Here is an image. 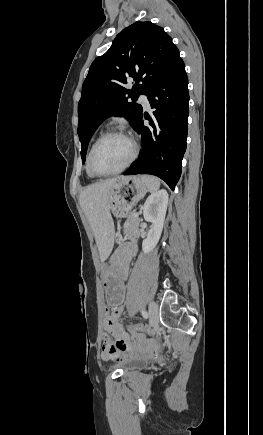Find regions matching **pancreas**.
Returning a JSON list of instances; mask_svg holds the SVG:
<instances>
[{"instance_id":"cf45deb5","label":"pancreas","mask_w":263,"mask_h":435,"mask_svg":"<svg viewBox=\"0 0 263 435\" xmlns=\"http://www.w3.org/2000/svg\"><path fill=\"white\" fill-rule=\"evenodd\" d=\"M139 217L135 213L130 212L127 221L124 225V234L129 238H137L140 234L138 231Z\"/></svg>"}]
</instances>
